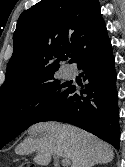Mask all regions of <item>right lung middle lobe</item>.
Segmentation results:
<instances>
[{
	"label": "right lung middle lobe",
	"mask_w": 125,
	"mask_h": 167,
	"mask_svg": "<svg viewBox=\"0 0 125 167\" xmlns=\"http://www.w3.org/2000/svg\"><path fill=\"white\" fill-rule=\"evenodd\" d=\"M70 85L55 77L17 96L0 100V147L30 127L54 103L62 102Z\"/></svg>",
	"instance_id": "obj_1"
}]
</instances>
